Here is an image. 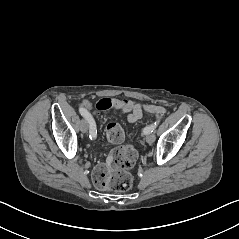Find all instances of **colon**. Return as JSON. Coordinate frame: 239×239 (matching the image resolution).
<instances>
[{"instance_id":"obj_1","label":"colon","mask_w":239,"mask_h":239,"mask_svg":"<svg viewBox=\"0 0 239 239\" xmlns=\"http://www.w3.org/2000/svg\"><path fill=\"white\" fill-rule=\"evenodd\" d=\"M115 106L114 100L103 98L96 104L99 111L108 110ZM144 110L150 114L163 115L166 110L158 105H145ZM106 136L109 142L119 144L124 139L123 128L115 122H111L106 127ZM136 159V153L130 146L116 149L109 156L104 164L98 165L93 172V181L101 189L125 192L133 184V176L130 172Z\"/></svg>"}]
</instances>
